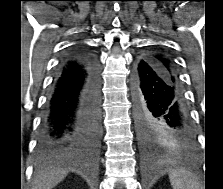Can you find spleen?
Returning <instances> with one entry per match:
<instances>
[{
  "instance_id": "obj_1",
  "label": "spleen",
  "mask_w": 223,
  "mask_h": 189,
  "mask_svg": "<svg viewBox=\"0 0 223 189\" xmlns=\"http://www.w3.org/2000/svg\"><path fill=\"white\" fill-rule=\"evenodd\" d=\"M173 189H196L195 178L185 170H175L169 174Z\"/></svg>"
}]
</instances>
